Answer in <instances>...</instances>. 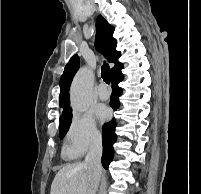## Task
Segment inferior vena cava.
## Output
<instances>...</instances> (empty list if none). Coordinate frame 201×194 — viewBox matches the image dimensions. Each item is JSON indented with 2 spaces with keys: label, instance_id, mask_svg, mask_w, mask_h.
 I'll return each instance as SVG.
<instances>
[{
  "label": "inferior vena cava",
  "instance_id": "inferior-vena-cava-1",
  "mask_svg": "<svg viewBox=\"0 0 201 194\" xmlns=\"http://www.w3.org/2000/svg\"><path fill=\"white\" fill-rule=\"evenodd\" d=\"M102 139L96 138L90 145L89 151L85 157V165L89 171V188L87 194H96L101 173Z\"/></svg>",
  "mask_w": 201,
  "mask_h": 194
}]
</instances>
